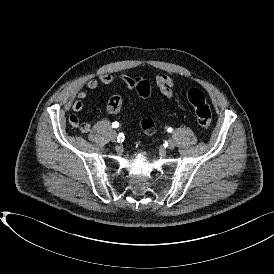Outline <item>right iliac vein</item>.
<instances>
[{"label":"right iliac vein","instance_id":"obj_1","mask_svg":"<svg viewBox=\"0 0 274 274\" xmlns=\"http://www.w3.org/2000/svg\"><path fill=\"white\" fill-rule=\"evenodd\" d=\"M111 140H112V142H116L117 141V133L116 132L112 133Z\"/></svg>","mask_w":274,"mask_h":274}]
</instances>
